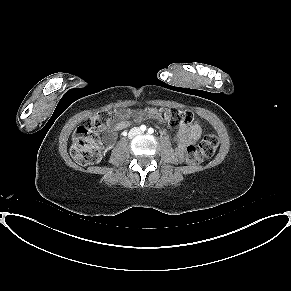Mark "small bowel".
Masks as SVG:
<instances>
[{
	"instance_id": "obj_1",
	"label": "small bowel",
	"mask_w": 291,
	"mask_h": 291,
	"mask_svg": "<svg viewBox=\"0 0 291 291\" xmlns=\"http://www.w3.org/2000/svg\"><path fill=\"white\" fill-rule=\"evenodd\" d=\"M147 114L152 117L161 118L155 109H149ZM143 116L144 114L141 112L131 111L128 109L117 111L115 114L116 121L112 126V129L106 132L104 137L105 141L107 143H112L115 138V132L125 129L129 125L130 119L137 121ZM201 134L202 127L197 121L181 127L177 133V153L181 155L185 147L196 142L200 138Z\"/></svg>"
}]
</instances>
